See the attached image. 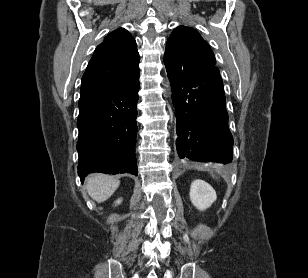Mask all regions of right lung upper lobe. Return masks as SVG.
<instances>
[{"instance_id":"obj_1","label":"right lung upper lobe","mask_w":308,"mask_h":278,"mask_svg":"<svg viewBox=\"0 0 308 278\" xmlns=\"http://www.w3.org/2000/svg\"><path fill=\"white\" fill-rule=\"evenodd\" d=\"M134 38L124 28L109 33L97 46L82 77L80 97L111 93L140 76Z\"/></svg>"}]
</instances>
